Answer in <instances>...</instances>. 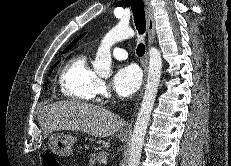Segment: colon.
Segmentation results:
<instances>
[{"mask_svg":"<svg viewBox=\"0 0 231 166\" xmlns=\"http://www.w3.org/2000/svg\"><path fill=\"white\" fill-rule=\"evenodd\" d=\"M43 166H63V164L52 154L43 157Z\"/></svg>","mask_w":231,"mask_h":166,"instance_id":"5ec220e1","label":"colon"}]
</instances>
